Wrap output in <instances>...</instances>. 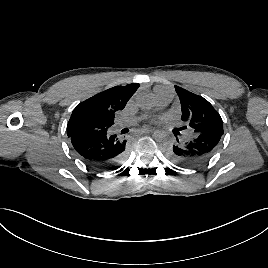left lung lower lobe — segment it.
Instances as JSON below:
<instances>
[{"label":"left lung lower lobe","instance_id":"1","mask_svg":"<svg viewBox=\"0 0 268 268\" xmlns=\"http://www.w3.org/2000/svg\"><path fill=\"white\" fill-rule=\"evenodd\" d=\"M223 134L211 132L193 135L188 141L176 142L169 148L170 158L185 167L207 162L216 152Z\"/></svg>","mask_w":268,"mask_h":268}]
</instances>
